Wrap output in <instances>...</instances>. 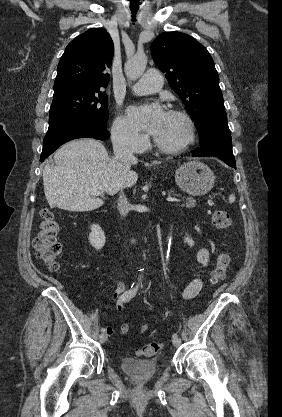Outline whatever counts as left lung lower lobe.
I'll use <instances>...</instances> for the list:
<instances>
[{"label": "left lung lower lobe", "instance_id": "left-lung-lower-lobe-1", "mask_svg": "<svg viewBox=\"0 0 282 417\" xmlns=\"http://www.w3.org/2000/svg\"><path fill=\"white\" fill-rule=\"evenodd\" d=\"M198 131L201 147L192 152L193 156H215L236 168L226 112L207 116Z\"/></svg>", "mask_w": 282, "mask_h": 417}]
</instances>
